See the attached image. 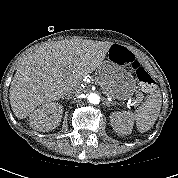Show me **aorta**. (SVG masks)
<instances>
[{
    "label": "aorta",
    "instance_id": "1",
    "mask_svg": "<svg viewBox=\"0 0 178 178\" xmlns=\"http://www.w3.org/2000/svg\"><path fill=\"white\" fill-rule=\"evenodd\" d=\"M87 99L91 104H99L100 102V97L94 93H91Z\"/></svg>",
    "mask_w": 178,
    "mask_h": 178
}]
</instances>
